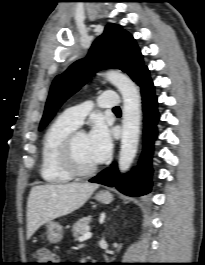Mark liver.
<instances>
[{"mask_svg": "<svg viewBox=\"0 0 205 265\" xmlns=\"http://www.w3.org/2000/svg\"><path fill=\"white\" fill-rule=\"evenodd\" d=\"M98 187L90 183L34 186L27 201V238L42 225L78 210Z\"/></svg>", "mask_w": 205, "mask_h": 265, "instance_id": "6515ba94", "label": "liver"}]
</instances>
